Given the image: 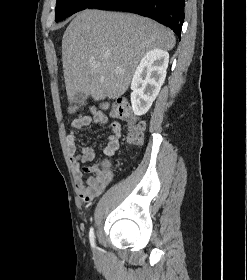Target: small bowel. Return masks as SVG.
<instances>
[{
	"mask_svg": "<svg viewBox=\"0 0 247 280\" xmlns=\"http://www.w3.org/2000/svg\"><path fill=\"white\" fill-rule=\"evenodd\" d=\"M93 124H105L108 126L109 136L106 145L103 147V152L107 156H111L117 151L121 137L119 121L102 112L96 113L93 117L85 116L72 121L71 130L67 135V147L74 174L75 188L80 198L86 202L98 197L112 180L111 172L104 179L93 175L85 178L84 172H86V169H81V163L92 162L96 158V149L94 146L81 147L77 142L76 132Z\"/></svg>",
	"mask_w": 247,
	"mask_h": 280,
	"instance_id": "small-bowel-1",
	"label": "small bowel"
}]
</instances>
